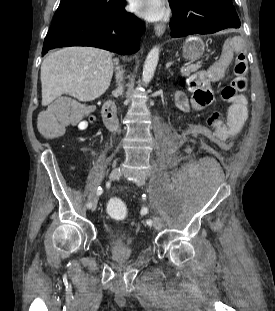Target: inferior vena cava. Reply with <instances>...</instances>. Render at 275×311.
Segmentation results:
<instances>
[{"instance_id":"1","label":"inferior vena cava","mask_w":275,"mask_h":311,"mask_svg":"<svg viewBox=\"0 0 275 311\" xmlns=\"http://www.w3.org/2000/svg\"><path fill=\"white\" fill-rule=\"evenodd\" d=\"M115 64H118V60H115ZM117 74H116V82L118 85L117 91L119 94H122L123 92V86H122V81H123V70L120 69V67H117Z\"/></svg>"}]
</instances>
